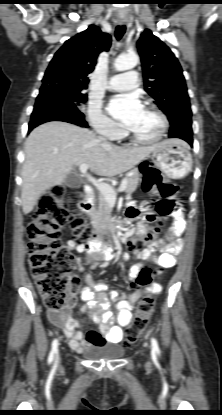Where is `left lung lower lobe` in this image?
Listing matches in <instances>:
<instances>
[{
    "mask_svg": "<svg viewBox=\"0 0 222 415\" xmlns=\"http://www.w3.org/2000/svg\"><path fill=\"white\" fill-rule=\"evenodd\" d=\"M192 121L191 119H183L179 124L172 126L169 130L170 138H180L188 142L191 146L193 145L192 138Z\"/></svg>",
    "mask_w": 222,
    "mask_h": 415,
    "instance_id": "1",
    "label": "left lung lower lobe"
}]
</instances>
